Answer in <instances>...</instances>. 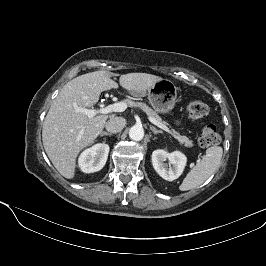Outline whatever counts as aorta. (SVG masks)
I'll return each instance as SVG.
<instances>
[{
	"label": "aorta",
	"mask_w": 266,
	"mask_h": 266,
	"mask_svg": "<svg viewBox=\"0 0 266 266\" xmlns=\"http://www.w3.org/2000/svg\"><path fill=\"white\" fill-rule=\"evenodd\" d=\"M129 137L134 141H141L144 137V129L140 125H134L129 130Z\"/></svg>",
	"instance_id": "obj_1"
}]
</instances>
